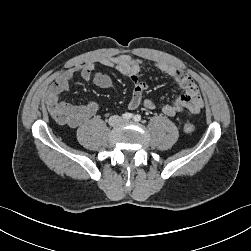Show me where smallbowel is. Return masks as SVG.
<instances>
[{
	"label": "small bowel",
	"instance_id": "small-bowel-1",
	"mask_svg": "<svg viewBox=\"0 0 251 251\" xmlns=\"http://www.w3.org/2000/svg\"><path fill=\"white\" fill-rule=\"evenodd\" d=\"M99 64L112 68L127 76L132 82V94L128 103L130 109H136L141 104L147 109H154L156 104L151 98L143 100V93L147 89V83L139 78V74L145 64L142 59L134 58L128 54H119L112 57H104L99 60ZM153 66L165 75L176 81L184 90L173 102L164 104L162 112L170 117L177 114L194 116L203 107L201 93L191 78L185 71L169 63L158 61ZM78 72L86 82H92L99 88L107 89L113 85L112 79L105 73L95 72V64L84 63L81 66L69 69L59 75L49 86L44 101L51 116L59 123L67 124L70 127H77L90 118L99 110V106L94 101H89L82 105H72L61 100L62 93L70 88V82Z\"/></svg>",
	"mask_w": 251,
	"mask_h": 251
}]
</instances>
